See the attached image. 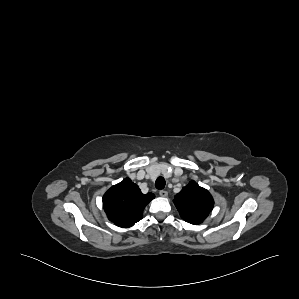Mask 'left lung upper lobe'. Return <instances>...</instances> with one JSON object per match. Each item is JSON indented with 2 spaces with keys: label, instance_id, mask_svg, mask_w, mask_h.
I'll return each instance as SVG.
<instances>
[{
  "label": "left lung upper lobe",
  "instance_id": "left-lung-upper-lobe-1",
  "mask_svg": "<svg viewBox=\"0 0 299 299\" xmlns=\"http://www.w3.org/2000/svg\"><path fill=\"white\" fill-rule=\"evenodd\" d=\"M180 216L186 222L198 225L202 223L213 208L214 201L210 193L195 181H190L174 199Z\"/></svg>",
  "mask_w": 299,
  "mask_h": 299
}]
</instances>
